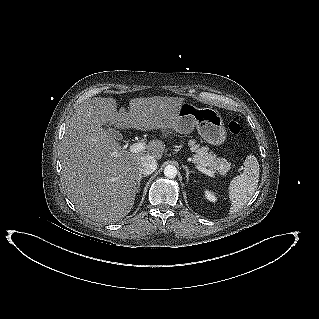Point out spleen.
I'll return each instance as SVG.
<instances>
[{
  "label": "spleen",
  "instance_id": "obj_1",
  "mask_svg": "<svg viewBox=\"0 0 319 319\" xmlns=\"http://www.w3.org/2000/svg\"><path fill=\"white\" fill-rule=\"evenodd\" d=\"M258 182L259 163L255 156L250 155L245 159L243 173L234 177L230 182V214L237 213L249 202L256 191Z\"/></svg>",
  "mask_w": 319,
  "mask_h": 319
}]
</instances>
